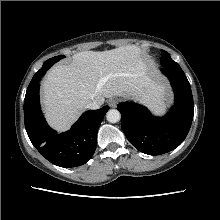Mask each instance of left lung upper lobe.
Masks as SVG:
<instances>
[{"mask_svg":"<svg viewBox=\"0 0 220 220\" xmlns=\"http://www.w3.org/2000/svg\"><path fill=\"white\" fill-rule=\"evenodd\" d=\"M162 55H161V64L165 67H168V66H172V67H179L178 63H176L175 61H173L170 57V55L162 50L161 51Z\"/></svg>","mask_w":220,"mask_h":220,"instance_id":"1","label":"left lung upper lobe"}]
</instances>
